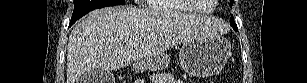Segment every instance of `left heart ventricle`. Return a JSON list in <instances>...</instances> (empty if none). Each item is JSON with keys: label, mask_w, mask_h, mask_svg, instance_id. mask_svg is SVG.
I'll use <instances>...</instances> for the list:
<instances>
[{"label": "left heart ventricle", "mask_w": 307, "mask_h": 83, "mask_svg": "<svg viewBox=\"0 0 307 83\" xmlns=\"http://www.w3.org/2000/svg\"><path fill=\"white\" fill-rule=\"evenodd\" d=\"M199 2V1H198ZM200 3V2H199ZM206 3H209V2H206ZM211 8V5L208 4V5H200V9L201 10H209Z\"/></svg>", "instance_id": "obj_1"}]
</instances>
